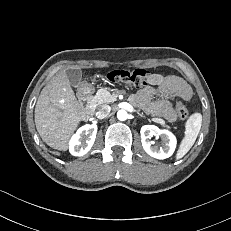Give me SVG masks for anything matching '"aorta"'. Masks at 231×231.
Masks as SVG:
<instances>
[{
	"instance_id": "1",
	"label": "aorta",
	"mask_w": 231,
	"mask_h": 231,
	"mask_svg": "<svg viewBox=\"0 0 231 231\" xmlns=\"http://www.w3.org/2000/svg\"><path fill=\"white\" fill-rule=\"evenodd\" d=\"M117 118L120 121H124V120H126L128 118V113L125 110H119L117 112Z\"/></svg>"
}]
</instances>
